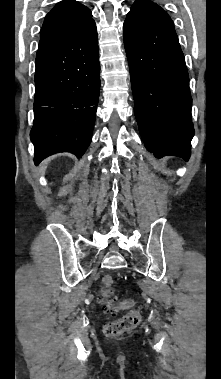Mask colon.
<instances>
[{"instance_id": "colon-1", "label": "colon", "mask_w": 221, "mask_h": 379, "mask_svg": "<svg viewBox=\"0 0 221 379\" xmlns=\"http://www.w3.org/2000/svg\"><path fill=\"white\" fill-rule=\"evenodd\" d=\"M102 302L107 311L116 313L122 309L130 308V301L117 302L113 296V279L105 276L102 279L101 289ZM140 320V314L137 310L131 309L123 317L110 321L105 325L104 332L109 337H116L135 328Z\"/></svg>"}]
</instances>
